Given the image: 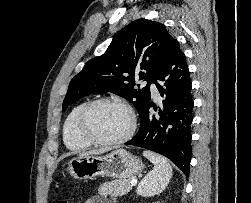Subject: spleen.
<instances>
[{"mask_svg":"<svg viewBox=\"0 0 251 203\" xmlns=\"http://www.w3.org/2000/svg\"><path fill=\"white\" fill-rule=\"evenodd\" d=\"M143 156L152 162L154 167L139 183L137 194L151 197L160 194L167 187L173 170L168 160L159 154L145 150Z\"/></svg>","mask_w":251,"mask_h":203,"instance_id":"spleen-1","label":"spleen"}]
</instances>
